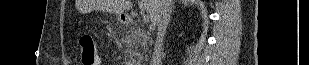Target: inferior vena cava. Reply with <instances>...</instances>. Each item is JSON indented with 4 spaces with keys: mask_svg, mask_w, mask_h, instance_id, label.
<instances>
[{
    "mask_svg": "<svg viewBox=\"0 0 309 65\" xmlns=\"http://www.w3.org/2000/svg\"><path fill=\"white\" fill-rule=\"evenodd\" d=\"M171 14V4L167 0L166 5L163 11L160 14L159 19L157 20V37L154 45V51L150 65H162V46L164 42V36L166 33L167 26L170 22Z\"/></svg>",
    "mask_w": 309,
    "mask_h": 65,
    "instance_id": "602c4592",
    "label": "inferior vena cava"
}]
</instances>
